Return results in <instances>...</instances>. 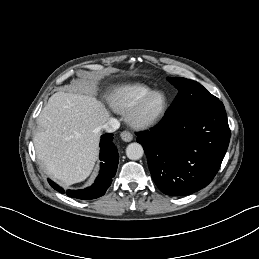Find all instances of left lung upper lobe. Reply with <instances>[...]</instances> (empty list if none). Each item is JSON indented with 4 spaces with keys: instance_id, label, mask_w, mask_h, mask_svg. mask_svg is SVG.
Masks as SVG:
<instances>
[{
    "instance_id": "obj_1",
    "label": "left lung upper lobe",
    "mask_w": 259,
    "mask_h": 259,
    "mask_svg": "<svg viewBox=\"0 0 259 259\" xmlns=\"http://www.w3.org/2000/svg\"><path fill=\"white\" fill-rule=\"evenodd\" d=\"M167 80L178 89V94L166 115L178 114L219 101L217 97L195 81L181 77H168Z\"/></svg>"
}]
</instances>
